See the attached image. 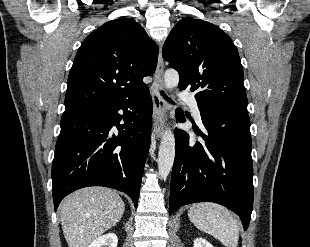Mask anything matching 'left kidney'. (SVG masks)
<instances>
[{"instance_id":"5707ae66","label":"left kidney","mask_w":310,"mask_h":247,"mask_svg":"<svg viewBox=\"0 0 310 247\" xmlns=\"http://www.w3.org/2000/svg\"><path fill=\"white\" fill-rule=\"evenodd\" d=\"M194 247H214V246L212 244H210L204 238H196L194 240Z\"/></svg>"}]
</instances>
